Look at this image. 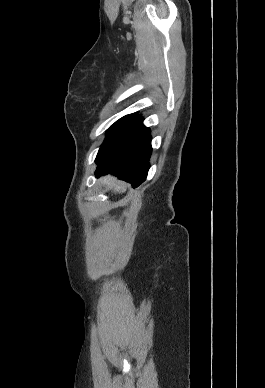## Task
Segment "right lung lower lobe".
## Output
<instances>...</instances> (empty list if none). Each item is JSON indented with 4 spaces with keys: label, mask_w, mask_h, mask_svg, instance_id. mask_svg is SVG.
Segmentation results:
<instances>
[{
    "label": "right lung lower lobe",
    "mask_w": 265,
    "mask_h": 388,
    "mask_svg": "<svg viewBox=\"0 0 265 388\" xmlns=\"http://www.w3.org/2000/svg\"><path fill=\"white\" fill-rule=\"evenodd\" d=\"M151 151L150 131L137 116L103 143L95 160V174H114L137 187L147 177Z\"/></svg>",
    "instance_id": "obj_1"
}]
</instances>
